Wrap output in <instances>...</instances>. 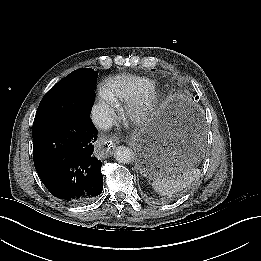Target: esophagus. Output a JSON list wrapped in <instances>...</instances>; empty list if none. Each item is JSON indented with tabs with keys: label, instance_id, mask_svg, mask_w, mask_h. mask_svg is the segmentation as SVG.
I'll list each match as a JSON object with an SVG mask.
<instances>
[{
	"label": "esophagus",
	"instance_id": "34e87169",
	"mask_svg": "<svg viewBox=\"0 0 261 261\" xmlns=\"http://www.w3.org/2000/svg\"><path fill=\"white\" fill-rule=\"evenodd\" d=\"M115 141H116L115 139H112V140L109 141L110 144L108 145V148L105 150V152L102 153L103 157L107 158V157H109L112 154V151L110 150V147H113V149H114Z\"/></svg>",
	"mask_w": 261,
	"mask_h": 261
}]
</instances>
